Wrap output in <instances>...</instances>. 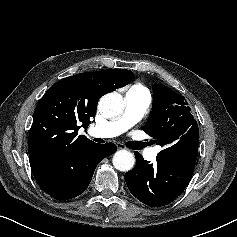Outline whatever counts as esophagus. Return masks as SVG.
<instances>
[{
    "label": "esophagus",
    "instance_id": "1",
    "mask_svg": "<svg viewBox=\"0 0 237 237\" xmlns=\"http://www.w3.org/2000/svg\"><path fill=\"white\" fill-rule=\"evenodd\" d=\"M118 150L126 149V146L123 143H117Z\"/></svg>",
    "mask_w": 237,
    "mask_h": 237
}]
</instances>
